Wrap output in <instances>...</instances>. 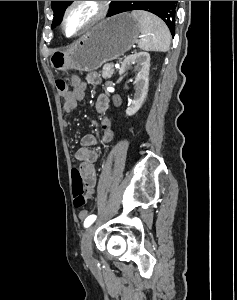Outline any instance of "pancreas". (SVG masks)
Here are the masks:
<instances>
[{
	"instance_id": "1",
	"label": "pancreas",
	"mask_w": 237,
	"mask_h": 300,
	"mask_svg": "<svg viewBox=\"0 0 237 300\" xmlns=\"http://www.w3.org/2000/svg\"><path fill=\"white\" fill-rule=\"evenodd\" d=\"M109 65H104V67H103L102 77H105V79H110V77H112V75L114 73L113 63L111 64L113 66L111 69L108 67Z\"/></svg>"
}]
</instances>
